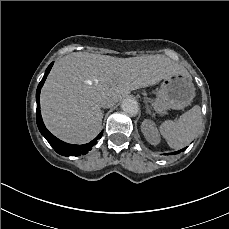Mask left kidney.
Here are the masks:
<instances>
[{
	"instance_id": "left-kidney-1",
	"label": "left kidney",
	"mask_w": 229,
	"mask_h": 229,
	"mask_svg": "<svg viewBox=\"0 0 229 229\" xmlns=\"http://www.w3.org/2000/svg\"><path fill=\"white\" fill-rule=\"evenodd\" d=\"M141 131L151 145H158L160 143V135L153 121L145 119L142 122Z\"/></svg>"
}]
</instances>
